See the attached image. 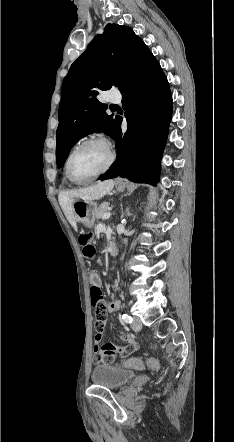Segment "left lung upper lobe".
Instances as JSON below:
<instances>
[{
	"label": "left lung upper lobe",
	"mask_w": 234,
	"mask_h": 442,
	"mask_svg": "<svg viewBox=\"0 0 234 442\" xmlns=\"http://www.w3.org/2000/svg\"><path fill=\"white\" fill-rule=\"evenodd\" d=\"M152 53L127 26L107 24L89 43L63 80L57 128V165L61 168L71 148L82 137L104 132L115 139L119 116L108 115L97 99L101 91L120 92L140 74Z\"/></svg>",
	"instance_id": "1"
}]
</instances>
